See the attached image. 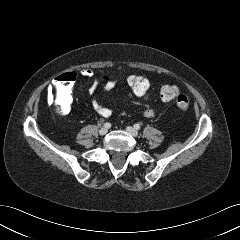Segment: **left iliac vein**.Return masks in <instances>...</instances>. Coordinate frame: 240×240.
Instances as JSON below:
<instances>
[{
    "label": "left iliac vein",
    "instance_id": "4c4485c4",
    "mask_svg": "<svg viewBox=\"0 0 240 240\" xmlns=\"http://www.w3.org/2000/svg\"><path fill=\"white\" fill-rule=\"evenodd\" d=\"M126 130H127V132L129 133V134H131L132 136H134V137H137L138 136V132H137V130H135L133 127H127L126 128Z\"/></svg>",
    "mask_w": 240,
    "mask_h": 240
}]
</instances>
